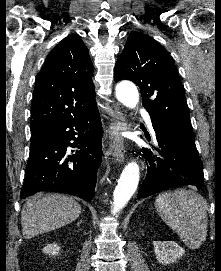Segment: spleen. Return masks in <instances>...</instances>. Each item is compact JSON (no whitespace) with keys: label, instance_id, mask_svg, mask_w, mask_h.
Segmentation results:
<instances>
[{"label":"spleen","instance_id":"1","mask_svg":"<svg viewBox=\"0 0 221 271\" xmlns=\"http://www.w3.org/2000/svg\"><path fill=\"white\" fill-rule=\"evenodd\" d=\"M156 207L187 247L197 249L202 245L208 231V215L200 195L190 189L162 191L156 199Z\"/></svg>","mask_w":221,"mask_h":271}]
</instances>
